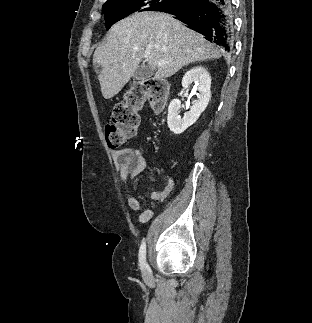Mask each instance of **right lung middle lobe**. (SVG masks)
Segmentation results:
<instances>
[{"label":"right lung middle lobe","mask_w":312,"mask_h":323,"mask_svg":"<svg viewBox=\"0 0 312 323\" xmlns=\"http://www.w3.org/2000/svg\"><path fill=\"white\" fill-rule=\"evenodd\" d=\"M184 0H113L103 5L107 28L134 12L159 11L178 6Z\"/></svg>","instance_id":"obj_1"}]
</instances>
